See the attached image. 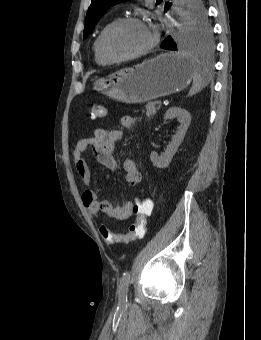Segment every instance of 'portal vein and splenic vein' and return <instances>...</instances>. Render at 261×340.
Here are the masks:
<instances>
[{"label": "portal vein and splenic vein", "instance_id": "18ae733b", "mask_svg": "<svg viewBox=\"0 0 261 340\" xmlns=\"http://www.w3.org/2000/svg\"><path fill=\"white\" fill-rule=\"evenodd\" d=\"M156 103H157V105L161 106L162 101H161V100H158Z\"/></svg>", "mask_w": 261, "mask_h": 340}]
</instances>
